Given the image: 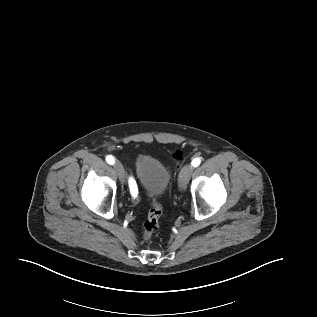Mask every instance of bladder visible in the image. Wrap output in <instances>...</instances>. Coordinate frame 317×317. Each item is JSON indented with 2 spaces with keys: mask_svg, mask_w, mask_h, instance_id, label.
<instances>
[{
  "mask_svg": "<svg viewBox=\"0 0 317 317\" xmlns=\"http://www.w3.org/2000/svg\"><path fill=\"white\" fill-rule=\"evenodd\" d=\"M137 178L150 197H158L168 189L171 174L166 166L150 155H139L135 161Z\"/></svg>",
  "mask_w": 317,
  "mask_h": 317,
  "instance_id": "1",
  "label": "bladder"
}]
</instances>
